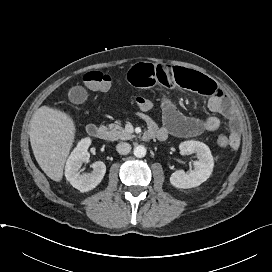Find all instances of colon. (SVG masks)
<instances>
[{"label": "colon", "instance_id": "5ec220e1", "mask_svg": "<svg viewBox=\"0 0 272 272\" xmlns=\"http://www.w3.org/2000/svg\"><path fill=\"white\" fill-rule=\"evenodd\" d=\"M84 85L91 91H105L110 87L111 78L109 75L99 71H90L83 77ZM136 105L140 110L150 111L154 108V103L147 98L138 97L136 99ZM217 144L220 147L229 146V139L224 135H220L217 138Z\"/></svg>", "mask_w": 272, "mask_h": 272}]
</instances>
